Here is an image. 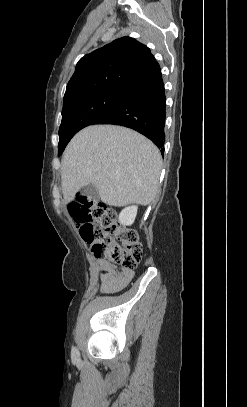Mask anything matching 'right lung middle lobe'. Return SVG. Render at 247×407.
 <instances>
[{"instance_id": "1", "label": "right lung middle lobe", "mask_w": 247, "mask_h": 407, "mask_svg": "<svg viewBox=\"0 0 247 407\" xmlns=\"http://www.w3.org/2000/svg\"><path fill=\"white\" fill-rule=\"evenodd\" d=\"M134 91L133 88L114 86L63 105L58 155L62 154L68 142L78 131L92 125Z\"/></svg>"}]
</instances>
